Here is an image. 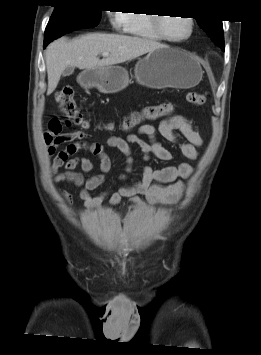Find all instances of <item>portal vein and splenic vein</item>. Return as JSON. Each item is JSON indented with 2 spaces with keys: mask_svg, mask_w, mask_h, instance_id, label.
<instances>
[{
  "mask_svg": "<svg viewBox=\"0 0 261 355\" xmlns=\"http://www.w3.org/2000/svg\"><path fill=\"white\" fill-rule=\"evenodd\" d=\"M108 55H109L108 52H103V53H102V56H103V57H106V56H108Z\"/></svg>",
  "mask_w": 261,
  "mask_h": 355,
  "instance_id": "obj_1",
  "label": "portal vein and splenic vein"
}]
</instances>
